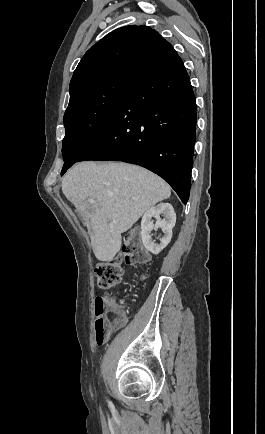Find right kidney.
<instances>
[{
  "label": "right kidney",
  "instance_id": "1",
  "mask_svg": "<svg viewBox=\"0 0 265 434\" xmlns=\"http://www.w3.org/2000/svg\"><path fill=\"white\" fill-rule=\"evenodd\" d=\"M160 214H163V220H161ZM152 218H156V224H153ZM175 222L176 214L171 204H158V206H154V208H150V210L145 212L141 220V236L143 246H145L148 252L159 254L163 248L168 246L169 242H171ZM153 228H162L165 236L161 238V244H154L151 238V230Z\"/></svg>",
  "mask_w": 265,
  "mask_h": 434
}]
</instances>
